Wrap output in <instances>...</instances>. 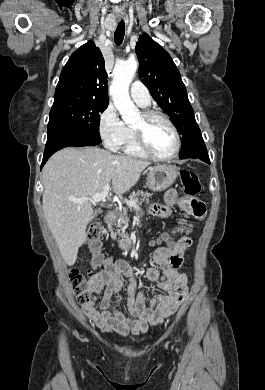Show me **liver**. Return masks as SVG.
I'll return each mask as SVG.
<instances>
[{
    "label": "liver",
    "instance_id": "6515ba94",
    "mask_svg": "<svg viewBox=\"0 0 265 390\" xmlns=\"http://www.w3.org/2000/svg\"><path fill=\"white\" fill-rule=\"evenodd\" d=\"M149 165L147 161L114 155L98 147L64 148L47 161L43 168V212L68 266L77 259L94 213L91 201L76 204L69 198L99 194L110 182L115 194H124Z\"/></svg>",
    "mask_w": 265,
    "mask_h": 390
}]
</instances>
